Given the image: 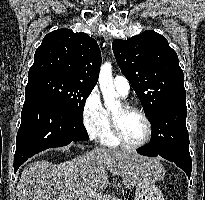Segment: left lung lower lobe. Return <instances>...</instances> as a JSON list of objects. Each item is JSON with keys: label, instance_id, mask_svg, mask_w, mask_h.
Here are the masks:
<instances>
[{"label": "left lung lower lobe", "instance_id": "obj_1", "mask_svg": "<svg viewBox=\"0 0 205 200\" xmlns=\"http://www.w3.org/2000/svg\"><path fill=\"white\" fill-rule=\"evenodd\" d=\"M186 115V100H176L166 104L151 122L150 142L137 152L145 156H160L174 162L190 178L192 160L189 153Z\"/></svg>", "mask_w": 205, "mask_h": 200}]
</instances>
